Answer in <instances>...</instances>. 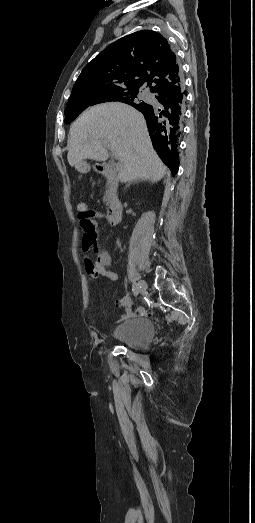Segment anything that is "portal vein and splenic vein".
<instances>
[{
    "mask_svg": "<svg viewBox=\"0 0 255 523\" xmlns=\"http://www.w3.org/2000/svg\"><path fill=\"white\" fill-rule=\"evenodd\" d=\"M113 156H115L114 152H113ZM115 158H116V156H115ZM114 170H115V173H118L121 170V164L119 162H116L114 164Z\"/></svg>",
    "mask_w": 255,
    "mask_h": 523,
    "instance_id": "1",
    "label": "portal vein and splenic vein"
}]
</instances>
